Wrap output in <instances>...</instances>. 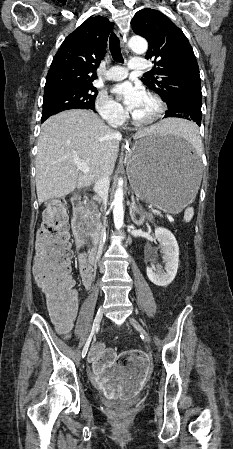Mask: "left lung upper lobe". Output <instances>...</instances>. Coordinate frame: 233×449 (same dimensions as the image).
<instances>
[{
  "mask_svg": "<svg viewBox=\"0 0 233 449\" xmlns=\"http://www.w3.org/2000/svg\"><path fill=\"white\" fill-rule=\"evenodd\" d=\"M131 25L148 41L145 58L156 65L152 72L158 77L142 78L143 83L162 97L168 110L186 107L201 111L199 68L182 30L161 12L149 8L138 11Z\"/></svg>",
  "mask_w": 233,
  "mask_h": 449,
  "instance_id": "5c2ea615",
  "label": "left lung upper lobe"
}]
</instances>
